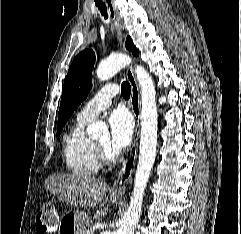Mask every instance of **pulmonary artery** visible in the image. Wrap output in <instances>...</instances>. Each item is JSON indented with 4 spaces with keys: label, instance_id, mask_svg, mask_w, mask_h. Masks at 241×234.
I'll use <instances>...</instances> for the list:
<instances>
[{
    "label": "pulmonary artery",
    "instance_id": "obj_1",
    "mask_svg": "<svg viewBox=\"0 0 241 234\" xmlns=\"http://www.w3.org/2000/svg\"><path fill=\"white\" fill-rule=\"evenodd\" d=\"M119 92L115 84L105 85L77 114V120L89 122L111 105L112 98Z\"/></svg>",
    "mask_w": 241,
    "mask_h": 234
}]
</instances>
